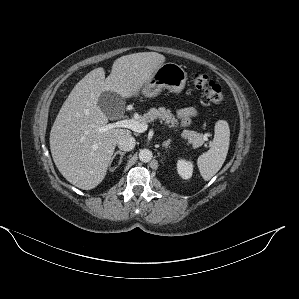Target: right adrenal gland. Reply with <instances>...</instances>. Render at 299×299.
<instances>
[{
    "mask_svg": "<svg viewBox=\"0 0 299 299\" xmlns=\"http://www.w3.org/2000/svg\"><path fill=\"white\" fill-rule=\"evenodd\" d=\"M118 154L120 155V159H119V162H118V165H117V166H119V165L121 164V162H122V158H123V156L125 155V152H122V151L118 150V151H116V152L113 154V156L111 157V160H110L109 165H111V163L113 162L114 158H115L116 155H118ZM117 166L113 167V168L111 169V171L115 170V169L117 168Z\"/></svg>",
    "mask_w": 299,
    "mask_h": 299,
    "instance_id": "obj_1",
    "label": "right adrenal gland"
}]
</instances>
